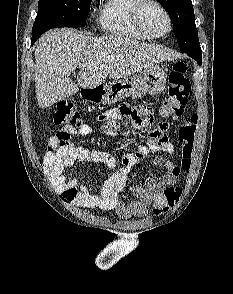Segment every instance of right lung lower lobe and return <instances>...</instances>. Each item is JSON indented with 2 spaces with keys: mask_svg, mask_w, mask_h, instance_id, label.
Instances as JSON below:
<instances>
[{
  "mask_svg": "<svg viewBox=\"0 0 233 294\" xmlns=\"http://www.w3.org/2000/svg\"><path fill=\"white\" fill-rule=\"evenodd\" d=\"M37 39H38V38H37ZM37 39H32V44H33Z\"/></svg>",
  "mask_w": 233,
  "mask_h": 294,
  "instance_id": "obj_1",
  "label": "right lung lower lobe"
}]
</instances>
